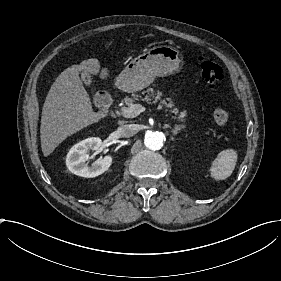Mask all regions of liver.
I'll return each mask as SVG.
<instances>
[{"instance_id":"liver-1","label":"liver","mask_w":281,"mask_h":281,"mask_svg":"<svg viewBox=\"0 0 281 281\" xmlns=\"http://www.w3.org/2000/svg\"><path fill=\"white\" fill-rule=\"evenodd\" d=\"M97 59H87L61 72L52 84L42 108L40 138L44 155L50 154L67 136L96 122L98 114L91 109V101L79 72L97 73Z\"/></svg>"}]
</instances>
